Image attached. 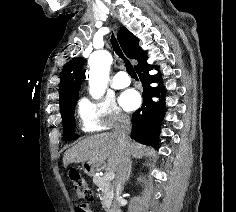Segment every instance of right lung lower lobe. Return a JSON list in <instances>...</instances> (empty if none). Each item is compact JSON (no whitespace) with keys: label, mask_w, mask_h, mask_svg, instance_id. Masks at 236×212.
I'll return each instance as SVG.
<instances>
[{"label":"right lung lower lobe","mask_w":236,"mask_h":212,"mask_svg":"<svg viewBox=\"0 0 236 212\" xmlns=\"http://www.w3.org/2000/svg\"><path fill=\"white\" fill-rule=\"evenodd\" d=\"M146 61L147 57L135 68L143 86V104L132 115L131 138L142 144L158 147L160 124L165 113V89L160 74H149L153 67ZM157 80H160L158 87H151L150 84ZM153 97H161L162 100L154 102Z\"/></svg>","instance_id":"1"}]
</instances>
